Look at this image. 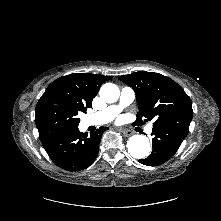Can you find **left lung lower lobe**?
<instances>
[{
	"instance_id": "obj_1",
	"label": "left lung lower lobe",
	"mask_w": 221,
	"mask_h": 221,
	"mask_svg": "<svg viewBox=\"0 0 221 221\" xmlns=\"http://www.w3.org/2000/svg\"><path fill=\"white\" fill-rule=\"evenodd\" d=\"M152 153L145 159L139 160L147 166H158L168 161L178 150L186 136L167 129L153 128Z\"/></svg>"
}]
</instances>
